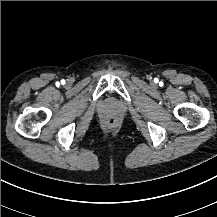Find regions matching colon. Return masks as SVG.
I'll use <instances>...</instances> for the list:
<instances>
[{
  "label": "colon",
  "mask_w": 217,
  "mask_h": 217,
  "mask_svg": "<svg viewBox=\"0 0 217 217\" xmlns=\"http://www.w3.org/2000/svg\"><path fill=\"white\" fill-rule=\"evenodd\" d=\"M117 124V121L114 118L108 120V125L114 127Z\"/></svg>",
  "instance_id": "5ec220e1"
}]
</instances>
